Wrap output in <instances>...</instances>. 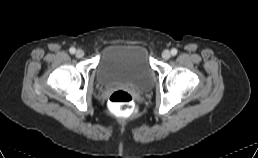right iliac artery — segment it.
<instances>
[{
    "mask_svg": "<svg viewBox=\"0 0 258 158\" xmlns=\"http://www.w3.org/2000/svg\"><path fill=\"white\" fill-rule=\"evenodd\" d=\"M69 51H70L71 54H74L75 51H76V49H75L74 47H71V48L69 49Z\"/></svg>",
    "mask_w": 258,
    "mask_h": 158,
    "instance_id": "right-iliac-artery-1",
    "label": "right iliac artery"
}]
</instances>
